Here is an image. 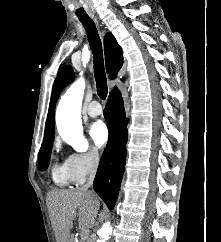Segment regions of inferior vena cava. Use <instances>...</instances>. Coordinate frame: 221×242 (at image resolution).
<instances>
[{"label":"inferior vena cava","mask_w":221,"mask_h":242,"mask_svg":"<svg viewBox=\"0 0 221 242\" xmlns=\"http://www.w3.org/2000/svg\"><path fill=\"white\" fill-rule=\"evenodd\" d=\"M96 159L91 163L89 167V174L86 184L82 186V190L87 191L89 187L93 185V181L95 178L96 170H97V155L95 156Z\"/></svg>","instance_id":"obj_1"}]
</instances>
